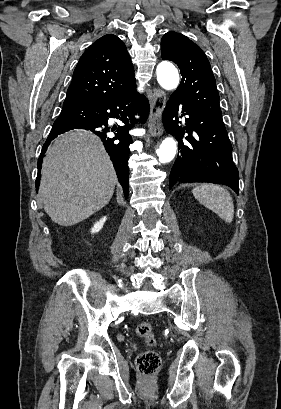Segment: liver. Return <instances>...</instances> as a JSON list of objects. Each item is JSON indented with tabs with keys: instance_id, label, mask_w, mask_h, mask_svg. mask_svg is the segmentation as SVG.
Segmentation results:
<instances>
[{
	"instance_id": "6515ba94",
	"label": "liver",
	"mask_w": 281,
	"mask_h": 409,
	"mask_svg": "<svg viewBox=\"0 0 281 409\" xmlns=\"http://www.w3.org/2000/svg\"><path fill=\"white\" fill-rule=\"evenodd\" d=\"M41 174L44 211L61 227L77 225L106 207L117 180L99 136L89 130H71L55 140Z\"/></svg>"
}]
</instances>
